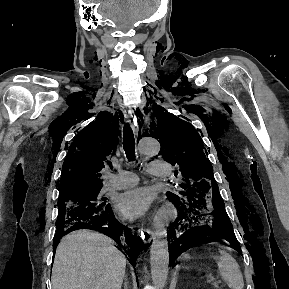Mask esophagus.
I'll return each instance as SVG.
<instances>
[{"mask_svg":"<svg viewBox=\"0 0 289 289\" xmlns=\"http://www.w3.org/2000/svg\"><path fill=\"white\" fill-rule=\"evenodd\" d=\"M128 116L131 119H133L132 128H133V131H134L136 138L138 139L139 138V128H138L137 120L135 119V117L133 118L132 110H129ZM141 236H142V239L146 243H150L152 238L154 237V233L151 229L144 228L141 230Z\"/></svg>","mask_w":289,"mask_h":289,"instance_id":"esophagus-1","label":"esophagus"}]
</instances>
